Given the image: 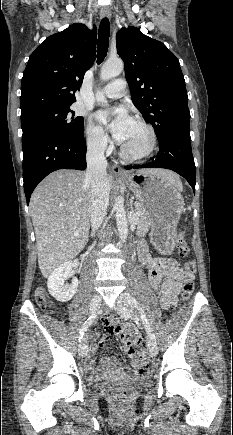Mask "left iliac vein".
<instances>
[{
  "label": "left iliac vein",
  "mask_w": 233,
  "mask_h": 435,
  "mask_svg": "<svg viewBox=\"0 0 233 435\" xmlns=\"http://www.w3.org/2000/svg\"><path fill=\"white\" fill-rule=\"evenodd\" d=\"M117 312L121 317L125 319H132L134 317V312L131 306L121 298L118 299L117 301ZM148 349L152 356L157 355L158 346L155 341L153 340L149 341Z\"/></svg>",
  "instance_id": "obj_1"
}]
</instances>
